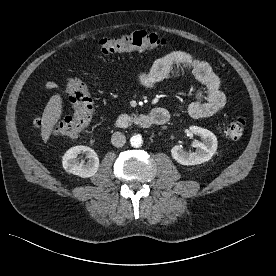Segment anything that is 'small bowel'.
Returning a JSON list of instances; mask_svg holds the SVG:
<instances>
[{"label":"small bowel","instance_id":"obj_1","mask_svg":"<svg viewBox=\"0 0 276 276\" xmlns=\"http://www.w3.org/2000/svg\"><path fill=\"white\" fill-rule=\"evenodd\" d=\"M185 70L191 71L204 87L197 90L194 100L178 105L176 107L178 111L184 110L192 117L204 118L212 116L224 107L226 99L220 90L218 76L207 62L186 51H173L157 59L149 70L138 75V82L144 88H151L174 71ZM46 88L56 89L58 83L49 81L46 83ZM158 109L167 111L164 108H154L149 114H153Z\"/></svg>","mask_w":276,"mask_h":276}]
</instances>
